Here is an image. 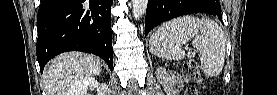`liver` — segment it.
Returning <instances> with one entry per match:
<instances>
[{"mask_svg":"<svg viewBox=\"0 0 277 95\" xmlns=\"http://www.w3.org/2000/svg\"><path fill=\"white\" fill-rule=\"evenodd\" d=\"M100 60L82 52H67L55 57L44 78L48 95H68L76 82L98 75Z\"/></svg>","mask_w":277,"mask_h":95,"instance_id":"liver-1","label":"liver"}]
</instances>
